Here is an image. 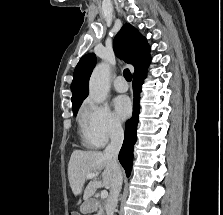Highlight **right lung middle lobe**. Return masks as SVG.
Listing matches in <instances>:
<instances>
[{
    "label": "right lung middle lobe",
    "instance_id": "obj_1",
    "mask_svg": "<svg viewBox=\"0 0 223 215\" xmlns=\"http://www.w3.org/2000/svg\"><path fill=\"white\" fill-rule=\"evenodd\" d=\"M78 109L79 108L73 109V112H74L75 115L77 114Z\"/></svg>",
    "mask_w": 223,
    "mask_h": 215
}]
</instances>
